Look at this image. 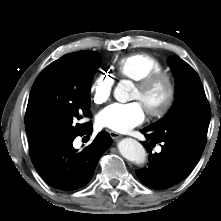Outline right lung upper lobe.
<instances>
[{
	"mask_svg": "<svg viewBox=\"0 0 221 221\" xmlns=\"http://www.w3.org/2000/svg\"><path fill=\"white\" fill-rule=\"evenodd\" d=\"M83 53H84V51H79V52L67 54V55L63 56V58L77 57V56H80V55L83 54Z\"/></svg>",
	"mask_w": 221,
	"mask_h": 221,
	"instance_id": "cb5924a9",
	"label": "right lung upper lobe"
}]
</instances>
